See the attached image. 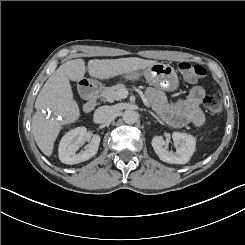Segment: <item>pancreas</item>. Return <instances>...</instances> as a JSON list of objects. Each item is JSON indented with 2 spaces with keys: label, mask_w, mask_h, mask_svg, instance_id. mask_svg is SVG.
Instances as JSON below:
<instances>
[{
  "label": "pancreas",
  "mask_w": 245,
  "mask_h": 245,
  "mask_svg": "<svg viewBox=\"0 0 245 245\" xmlns=\"http://www.w3.org/2000/svg\"><path fill=\"white\" fill-rule=\"evenodd\" d=\"M121 90H127L122 84H117L115 86L104 87L98 95V99H103L105 101L111 102L113 100H121L120 96Z\"/></svg>",
  "instance_id": "obj_1"
}]
</instances>
